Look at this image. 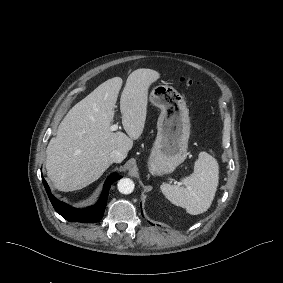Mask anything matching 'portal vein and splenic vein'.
Listing matches in <instances>:
<instances>
[{
	"label": "portal vein and splenic vein",
	"instance_id": "1",
	"mask_svg": "<svg viewBox=\"0 0 283 283\" xmlns=\"http://www.w3.org/2000/svg\"><path fill=\"white\" fill-rule=\"evenodd\" d=\"M117 129H118V124H113L112 126H110L111 131H116Z\"/></svg>",
	"mask_w": 283,
	"mask_h": 283
}]
</instances>
